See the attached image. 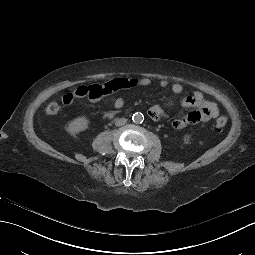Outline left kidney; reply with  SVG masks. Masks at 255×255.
<instances>
[{
	"label": "left kidney",
	"mask_w": 255,
	"mask_h": 255,
	"mask_svg": "<svg viewBox=\"0 0 255 255\" xmlns=\"http://www.w3.org/2000/svg\"><path fill=\"white\" fill-rule=\"evenodd\" d=\"M184 141H185V143H188V142H189V137L186 136V137L184 138Z\"/></svg>",
	"instance_id": "5707ae66"
}]
</instances>
